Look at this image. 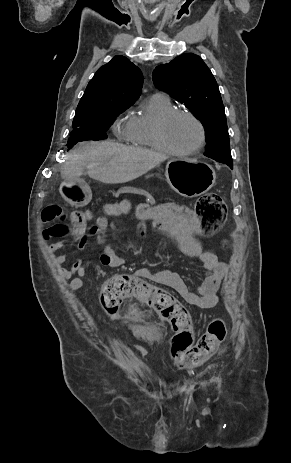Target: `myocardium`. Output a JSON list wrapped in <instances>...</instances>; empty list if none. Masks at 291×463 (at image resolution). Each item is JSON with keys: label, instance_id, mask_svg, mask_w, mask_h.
Instances as JSON below:
<instances>
[{"label": "myocardium", "instance_id": "myocardium-1", "mask_svg": "<svg viewBox=\"0 0 291 463\" xmlns=\"http://www.w3.org/2000/svg\"><path fill=\"white\" fill-rule=\"evenodd\" d=\"M178 116H186L193 120L196 125L199 128L200 131V137L198 143L187 150H177L174 147H172L165 135L166 128L168 124L176 117ZM154 136L156 143L158 147L160 148L161 151L172 155V156H177V157H186L193 155L197 152H199L205 145L206 142V129L202 121L192 112L187 111V110H182V109H173L166 114H164L162 117L159 118V120L156 122L155 127H154Z\"/></svg>", "mask_w": 291, "mask_h": 463}]
</instances>
